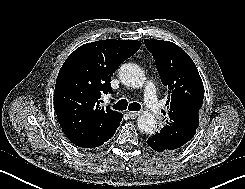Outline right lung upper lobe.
<instances>
[{"label": "right lung upper lobe", "mask_w": 245, "mask_h": 189, "mask_svg": "<svg viewBox=\"0 0 245 189\" xmlns=\"http://www.w3.org/2000/svg\"><path fill=\"white\" fill-rule=\"evenodd\" d=\"M140 46L137 40H100L80 46L66 59L56 80L54 108L73 144L97 145L115 134L123 115L100 107V98L112 93L111 76Z\"/></svg>", "instance_id": "obj_1"}]
</instances>
